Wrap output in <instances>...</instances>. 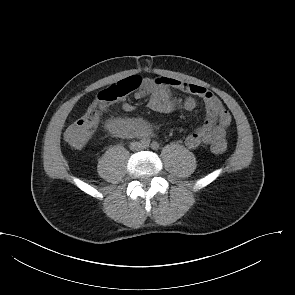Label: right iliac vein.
Segmentation results:
<instances>
[{
  "label": "right iliac vein",
  "mask_w": 295,
  "mask_h": 295,
  "mask_svg": "<svg viewBox=\"0 0 295 295\" xmlns=\"http://www.w3.org/2000/svg\"><path fill=\"white\" fill-rule=\"evenodd\" d=\"M139 147H140L139 143H135V144L132 145V149H137Z\"/></svg>",
  "instance_id": "1"
}]
</instances>
